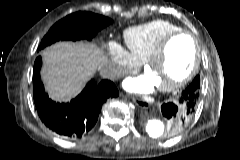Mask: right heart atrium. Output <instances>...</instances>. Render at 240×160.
<instances>
[{
    "mask_svg": "<svg viewBox=\"0 0 240 160\" xmlns=\"http://www.w3.org/2000/svg\"><path fill=\"white\" fill-rule=\"evenodd\" d=\"M108 63L107 75L117 77L122 72L137 67V64L127 51L116 42H109L106 46Z\"/></svg>",
    "mask_w": 240,
    "mask_h": 160,
    "instance_id": "obj_1",
    "label": "right heart atrium"
}]
</instances>
